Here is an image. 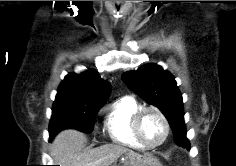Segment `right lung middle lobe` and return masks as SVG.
<instances>
[{
	"instance_id": "obj_1",
	"label": "right lung middle lobe",
	"mask_w": 236,
	"mask_h": 166,
	"mask_svg": "<svg viewBox=\"0 0 236 166\" xmlns=\"http://www.w3.org/2000/svg\"><path fill=\"white\" fill-rule=\"evenodd\" d=\"M101 107L77 102H54L49 125L50 139L59 131L68 128L91 133L94 128V117Z\"/></svg>"
}]
</instances>
